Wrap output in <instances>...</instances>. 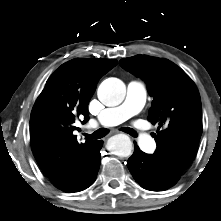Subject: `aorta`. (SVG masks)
<instances>
[{
    "mask_svg": "<svg viewBox=\"0 0 221 221\" xmlns=\"http://www.w3.org/2000/svg\"><path fill=\"white\" fill-rule=\"evenodd\" d=\"M125 84L118 78L105 79L98 87L99 100L106 106H117L125 97ZM108 149L119 157H128L132 152V142L125 134H118L108 141Z\"/></svg>",
    "mask_w": 221,
    "mask_h": 221,
    "instance_id": "aorta-1",
    "label": "aorta"
}]
</instances>
